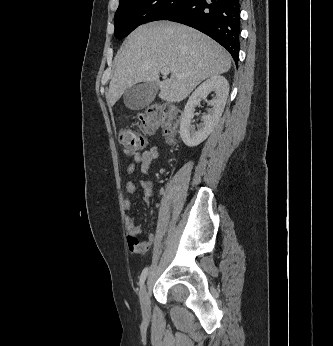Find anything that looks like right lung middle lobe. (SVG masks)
<instances>
[{
  "label": "right lung middle lobe",
  "mask_w": 333,
  "mask_h": 346,
  "mask_svg": "<svg viewBox=\"0 0 333 346\" xmlns=\"http://www.w3.org/2000/svg\"><path fill=\"white\" fill-rule=\"evenodd\" d=\"M184 0H120L114 17V35L123 39L139 25L166 20Z\"/></svg>",
  "instance_id": "obj_1"
}]
</instances>
